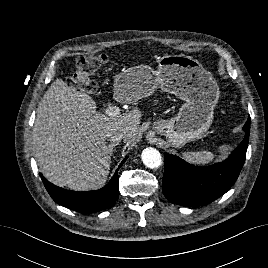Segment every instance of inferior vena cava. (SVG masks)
<instances>
[{
    "label": "inferior vena cava",
    "instance_id": "1",
    "mask_svg": "<svg viewBox=\"0 0 268 268\" xmlns=\"http://www.w3.org/2000/svg\"><path fill=\"white\" fill-rule=\"evenodd\" d=\"M105 137L110 142H118L121 139L125 138V133L117 129H109L106 131Z\"/></svg>",
    "mask_w": 268,
    "mask_h": 268
}]
</instances>
